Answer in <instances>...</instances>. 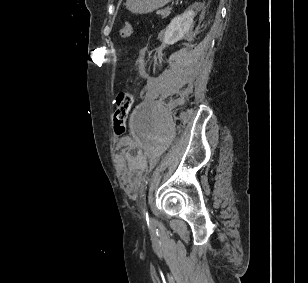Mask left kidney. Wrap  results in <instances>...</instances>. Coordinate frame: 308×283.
I'll use <instances>...</instances> for the list:
<instances>
[{"label": "left kidney", "instance_id": "5707ae66", "mask_svg": "<svg viewBox=\"0 0 308 283\" xmlns=\"http://www.w3.org/2000/svg\"><path fill=\"white\" fill-rule=\"evenodd\" d=\"M201 6V4L195 3L182 15L172 19L164 32L162 38L163 43L172 45L189 33L194 25L193 19L197 13L195 10H199Z\"/></svg>", "mask_w": 308, "mask_h": 283}]
</instances>
